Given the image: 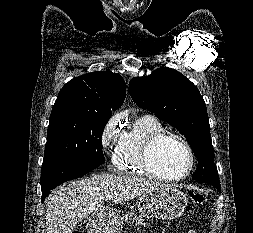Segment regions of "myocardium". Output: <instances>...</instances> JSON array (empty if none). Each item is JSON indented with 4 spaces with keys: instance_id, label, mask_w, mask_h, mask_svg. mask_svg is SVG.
I'll return each instance as SVG.
<instances>
[{
    "instance_id": "myocardium-1",
    "label": "myocardium",
    "mask_w": 253,
    "mask_h": 233,
    "mask_svg": "<svg viewBox=\"0 0 253 233\" xmlns=\"http://www.w3.org/2000/svg\"><path fill=\"white\" fill-rule=\"evenodd\" d=\"M164 140H173L181 144L185 147L189 154V168L188 170L181 176H163L160 175L153 167L152 164V155L155 150V148ZM141 162L144 167V169L147 171V173L154 177L155 179L165 181V182H178L186 179L191 175V173L194 170L195 167V153L190 145V143L184 139L183 137L169 131H163L159 132L157 134L152 135L144 144L143 150H142V156H141Z\"/></svg>"
}]
</instances>
